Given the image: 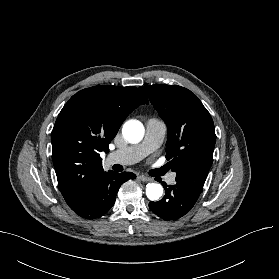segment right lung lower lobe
<instances>
[{
  "mask_svg": "<svg viewBox=\"0 0 279 279\" xmlns=\"http://www.w3.org/2000/svg\"><path fill=\"white\" fill-rule=\"evenodd\" d=\"M135 177L133 173L127 172L101 173L93 182L86 198L72 210L82 218H100L114 205L120 186Z\"/></svg>",
  "mask_w": 279,
  "mask_h": 279,
  "instance_id": "right-lung-lower-lobe-1",
  "label": "right lung lower lobe"
}]
</instances>
